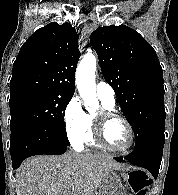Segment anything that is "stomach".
<instances>
[{
  "instance_id": "stomach-1",
  "label": "stomach",
  "mask_w": 178,
  "mask_h": 195,
  "mask_svg": "<svg viewBox=\"0 0 178 195\" xmlns=\"http://www.w3.org/2000/svg\"><path fill=\"white\" fill-rule=\"evenodd\" d=\"M128 173L123 169L110 170L100 185L98 195H128Z\"/></svg>"
}]
</instances>
